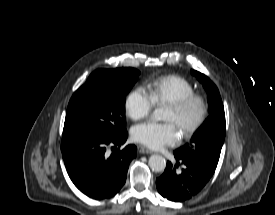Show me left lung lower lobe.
Segmentation results:
<instances>
[{"instance_id": "left-lung-lower-lobe-1", "label": "left lung lower lobe", "mask_w": 275, "mask_h": 215, "mask_svg": "<svg viewBox=\"0 0 275 215\" xmlns=\"http://www.w3.org/2000/svg\"><path fill=\"white\" fill-rule=\"evenodd\" d=\"M176 165L167 162L164 173L156 179L158 192L175 202H183L197 195L214 174L215 167L193 159L175 155ZM182 165V171L177 168Z\"/></svg>"}]
</instances>
